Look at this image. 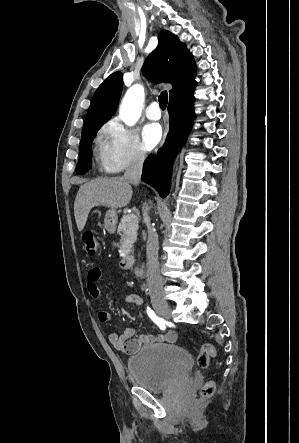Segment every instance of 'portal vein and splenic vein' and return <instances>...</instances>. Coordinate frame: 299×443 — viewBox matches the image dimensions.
<instances>
[{"label": "portal vein and splenic vein", "mask_w": 299, "mask_h": 443, "mask_svg": "<svg viewBox=\"0 0 299 443\" xmlns=\"http://www.w3.org/2000/svg\"><path fill=\"white\" fill-rule=\"evenodd\" d=\"M137 216L135 215V214H131V215H129V217H128V219L129 220H133V219H135Z\"/></svg>", "instance_id": "1"}]
</instances>
